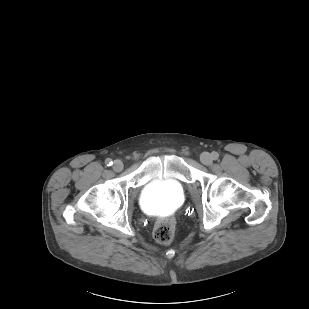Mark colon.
I'll return each mask as SVG.
<instances>
[{"instance_id": "5ec220e1", "label": "colon", "mask_w": 309, "mask_h": 309, "mask_svg": "<svg viewBox=\"0 0 309 309\" xmlns=\"http://www.w3.org/2000/svg\"><path fill=\"white\" fill-rule=\"evenodd\" d=\"M176 223L173 218L166 217L155 225L153 236L160 244H169L175 234Z\"/></svg>"}]
</instances>
